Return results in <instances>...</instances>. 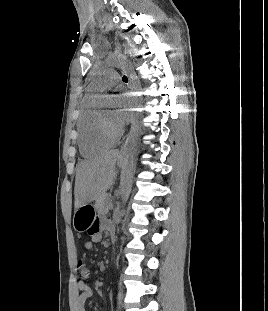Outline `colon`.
Returning a JSON list of instances; mask_svg holds the SVG:
<instances>
[{"label": "colon", "instance_id": "5ec220e1", "mask_svg": "<svg viewBox=\"0 0 268 311\" xmlns=\"http://www.w3.org/2000/svg\"><path fill=\"white\" fill-rule=\"evenodd\" d=\"M79 269H80V274L83 278L89 277L90 271L87 267L84 266L83 261L81 259L79 260Z\"/></svg>", "mask_w": 268, "mask_h": 311}]
</instances>
